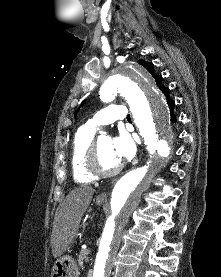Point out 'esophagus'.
I'll list each match as a JSON object with an SVG mask.
<instances>
[{
  "label": "esophagus",
  "instance_id": "obj_1",
  "mask_svg": "<svg viewBox=\"0 0 221 277\" xmlns=\"http://www.w3.org/2000/svg\"><path fill=\"white\" fill-rule=\"evenodd\" d=\"M115 182V180H113L112 182H111V184H113ZM107 198V192H102L99 196H98V199H100V200H104V199H106Z\"/></svg>",
  "mask_w": 221,
  "mask_h": 277
}]
</instances>
